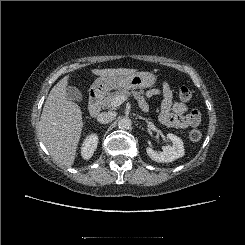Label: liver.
Returning a JSON list of instances; mask_svg holds the SVG:
<instances>
[{
  "label": "liver",
  "mask_w": 245,
  "mask_h": 245,
  "mask_svg": "<svg viewBox=\"0 0 245 245\" xmlns=\"http://www.w3.org/2000/svg\"><path fill=\"white\" fill-rule=\"evenodd\" d=\"M98 76H125L136 73V69H92ZM69 75L62 78L50 91L39 122L40 139L53 160L60 166L71 167L83 129L81 108L66 98Z\"/></svg>",
  "instance_id": "1"
}]
</instances>
